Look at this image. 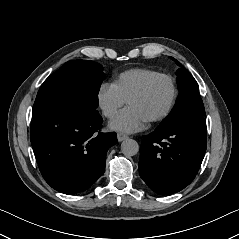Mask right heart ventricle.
<instances>
[{"label": "right heart ventricle", "mask_w": 239, "mask_h": 239, "mask_svg": "<svg viewBox=\"0 0 239 239\" xmlns=\"http://www.w3.org/2000/svg\"><path fill=\"white\" fill-rule=\"evenodd\" d=\"M159 74L146 68H133L118 75L114 81L120 95L127 100L129 96L140 88L149 78Z\"/></svg>", "instance_id": "obj_1"}]
</instances>
